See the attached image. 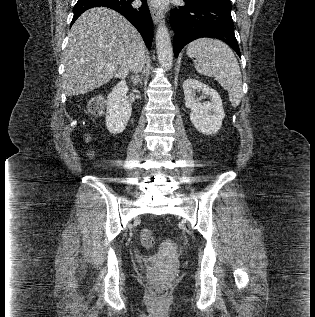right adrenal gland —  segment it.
I'll list each match as a JSON object with an SVG mask.
<instances>
[{"instance_id": "1", "label": "right adrenal gland", "mask_w": 315, "mask_h": 317, "mask_svg": "<svg viewBox=\"0 0 315 317\" xmlns=\"http://www.w3.org/2000/svg\"><path fill=\"white\" fill-rule=\"evenodd\" d=\"M142 77H143V72H142V75L132 76L133 84L136 85L137 83H139L142 85Z\"/></svg>"}]
</instances>
